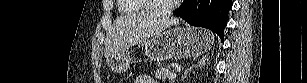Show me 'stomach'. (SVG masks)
Masks as SVG:
<instances>
[{
	"instance_id": "1",
	"label": "stomach",
	"mask_w": 307,
	"mask_h": 83,
	"mask_svg": "<svg viewBox=\"0 0 307 83\" xmlns=\"http://www.w3.org/2000/svg\"><path fill=\"white\" fill-rule=\"evenodd\" d=\"M213 35L194 28H172L149 38L145 42L147 56L156 61L189 58L205 52L213 44ZM114 73H123L130 68L131 59L118 52L106 59Z\"/></svg>"
}]
</instances>
